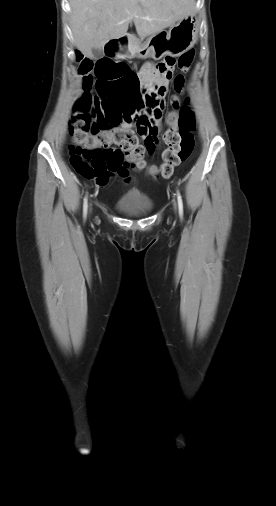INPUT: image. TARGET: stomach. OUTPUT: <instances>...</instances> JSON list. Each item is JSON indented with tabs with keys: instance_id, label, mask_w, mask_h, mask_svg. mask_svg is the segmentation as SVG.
<instances>
[{
	"instance_id": "obj_1",
	"label": "stomach",
	"mask_w": 276,
	"mask_h": 506,
	"mask_svg": "<svg viewBox=\"0 0 276 506\" xmlns=\"http://www.w3.org/2000/svg\"><path fill=\"white\" fill-rule=\"evenodd\" d=\"M198 28L193 13L185 16L170 28L152 34L136 48L140 58L160 60L165 55L179 56L194 46Z\"/></svg>"
}]
</instances>
